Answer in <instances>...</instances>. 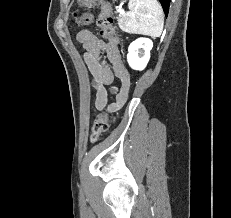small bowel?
Returning a JSON list of instances; mask_svg holds the SVG:
<instances>
[{
  "label": "small bowel",
  "instance_id": "1",
  "mask_svg": "<svg viewBox=\"0 0 231 218\" xmlns=\"http://www.w3.org/2000/svg\"><path fill=\"white\" fill-rule=\"evenodd\" d=\"M77 40L85 50L84 61L91 73L92 86L95 90V110L118 111L128 99L130 77L121 61L116 43L105 42L90 30L79 31ZM115 77L120 80L119 87L113 85ZM110 91L115 94V101L109 104Z\"/></svg>",
  "mask_w": 231,
  "mask_h": 218
}]
</instances>
